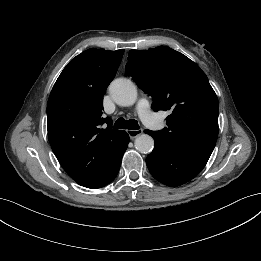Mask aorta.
I'll use <instances>...</instances> for the list:
<instances>
[{
  "instance_id": "aorta-1",
  "label": "aorta",
  "mask_w": 261,
  "mask_h": 261,
  "mask_svg": "<svg viewBox=\"0 0 261 261\" xmlns=\"http://www.w3.org/2000/svg\"><path fill=\"white\" fill-rule=\"evenodd\" d=\"M112 99L120 106H132L137 100L135 84L126 78H118L109 85ZM135 148L143 154L150 153L154 148V139L147 134H142L135 139Z\"/></svg>"
}]
</instances>
